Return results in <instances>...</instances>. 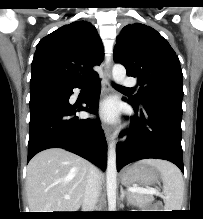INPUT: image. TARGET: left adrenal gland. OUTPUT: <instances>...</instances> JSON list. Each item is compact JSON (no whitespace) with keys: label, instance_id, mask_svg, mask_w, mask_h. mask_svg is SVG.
<instances>
[{"label":"left adrenal gland","instance_id":"left-adrenal-gland-1","mask_svg":"<svg viewBox=\"0 0 203 219\" xmlns=\"http://www.w3.org/2000/svg\"><path fill=\"white\" fill-rule=\"evenodd\" d=\"M120 192H121L120 199L123 201L125 195H127L128 197V192L125 191L122 186H120Z\"/></svg>","mask_w":203,"mask_h":219}]
</instances>
